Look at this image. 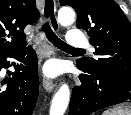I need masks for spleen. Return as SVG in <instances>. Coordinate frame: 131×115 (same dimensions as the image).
<instances>
[{"label":"spleen","instance_id":"1","mask_svg":"<svg viewBox=\"0 0 131 115\" xmlns=\"http://www.w3.org/2000/svg\"><path fill=\"white\" fill-rule=\"evenodd\" d=\"M102 115H131V110L123 108H114L106 110Z\"/></svg>","mask_w":131,"mask_h":115}]
</instances>
